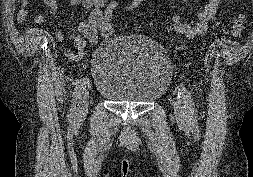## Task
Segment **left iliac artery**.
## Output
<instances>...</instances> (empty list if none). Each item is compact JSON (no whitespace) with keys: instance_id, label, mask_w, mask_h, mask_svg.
<instances>
[{"instance_id":"1","label":"left iliac artery","mask_w":253,"mask_h":177,"mask_svg":"<svg viewBox=\"0 0 253 177\" xmlns=\"http://www.w3.org/2000/svg\"><path fill=\"white\" fill-rule=\"evenodd\" d=\"M178 88L180 91V95L183 99V103L185 105L186 114L189 118V121L192 125H194L196 123V117H195L193 100H192L191 94L188 91V89L185 87V85L183 84H180Z\"/></svg>"}]
</instances>
